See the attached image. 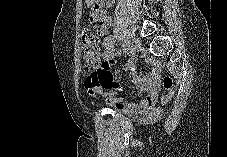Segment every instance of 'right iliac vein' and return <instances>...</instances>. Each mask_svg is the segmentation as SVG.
<instances>
[{"mask_svg":"<svg viewBox=\"0 0 227 157\" xmlns=\"http://www.w3.org/2000/svg\"><path fill=\"white\" fill-rule=\"evenodd\" d=\"M128 46H126V48H129L130 51H137L140 48V41L137 38H133L131 40L128 41Z\"/></svg>","mask_w":227,"mask_h":157,"instance_id":"obj_1","label":"right iliac vein"}]
</instances>
